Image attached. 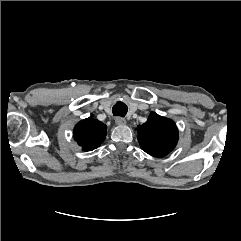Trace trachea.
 Returning <instances> with one entry per match:
<instances>
[{
    "mask_svg": "<svg viewBox=\"0 0 241 241\" xmlns=\"http://www.w3.org/2000/svg\"><path fill=\"white\" fill-rule=\"evenodd\" d=\"M127 111H128V107L123 102L116 103L112 108V112L114 116L124 117L127 114Z\"/></svg>",
    "mask_w": 241,
    "mask_h": 241,
    "instance_id": "1",
    "label": "trachea"
}]
</instances>
